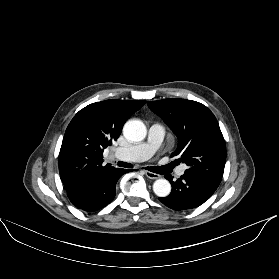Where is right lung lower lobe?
I'll use <instances>...</instances> for the list:
<instances>
[{"mask_svg":"<svg viewBox=\"0 0 279 279\" xmlns=\"http://www.w3.org/2000/svg\"><path fill=\"white\" fill-rule=\"evenodd\" d=\"M129 171V169H118L87 186L68 192V197L78 209L96 211L113 200L118 179Z\"/></svg>","mask_w":279,"mask_h":279,"instance_id":"98d812e1","label":"right lung lower lobe"}]
</instances>
